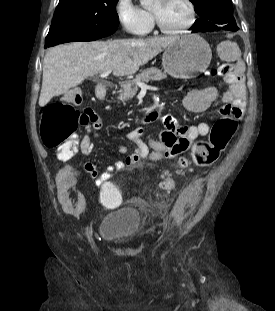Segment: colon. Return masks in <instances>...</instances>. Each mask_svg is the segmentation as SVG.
Masks as SVG:
<instances>
[{"mask_svg":"<svg viewBox=\"0 0 275 311\" xmlns=\"http://www.w3.org/2000/svg\"><path fill=\"white\" fill-rule=\"evenodd\" d=\"M218 74L228 79L232 75V65L228 62L221 63ZM79 97L80 93L77 90L72 92L73 100L76 101ZM93 116L92 110H80L72 102H58L45 106L40 115V136L43 144L48 148L56 149L59 158H71L77 152L79 145L81 150L83 147L82 142L80 144L76 137L78 127L90 123ZM216 123L208 141L194 139L189 145L193 150L192 161L198 167H207L216 163L237 131L236 118H217ZM179 164L183 170H187L190 166L187 158H181ZM114 183V178H107L106 183H98L100 200L108 206H115L120 201ZM161 188L167 192L172 191L173 180L166 177Z\"/></svg>","mask_w":275,"mask_h":311,"instance_id":"5ec220e1","label":"colon"}]
</instances>
